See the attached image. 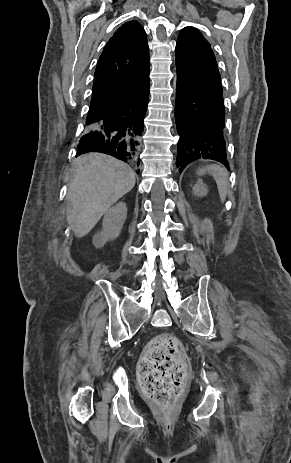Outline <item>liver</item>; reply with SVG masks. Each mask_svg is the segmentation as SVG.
Returning a JSON list of instances; mask_svg holds the SVG:
<instances>
[{
  "label": "liver",
  "mask_w": 291,
  "mask_h": 463,
  "mask_svg": "<svg viewBox=\"0 0 291 463\" xmlns=\"http://www.w3.org/2000/svg\"><path fill=\"white\" fill-rule=\"evenodd\" d=\"M74 178L67 198V222L76 237L87 235L101 217L135 185V173L125 163L100 153L81 155L74 161Z\"/></svg>",
  "instance_id": "1"
}]
</instances>
